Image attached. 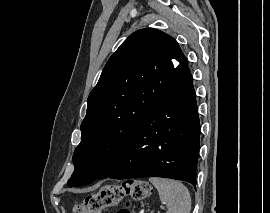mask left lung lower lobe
Masks as SVG:
<instances>
[{
	"instance_id": "left-lung-lower-lobe-1",
	"label": "left lung lower lobe",
	"mask_w": 270,
	"mask_h": 213,
	"mask_svg": "<svg viewBox=\"0 0 270 213\" xmlns=\"http://www.w3.org/2000/svg\"><path fill=\"white\" fill-rule=\"evenodd\" d=\"M199 145L200 122L187 68L138 124L103 178L155 176L184 180L195 187Z\"/></svg>"
}]
</instances>
